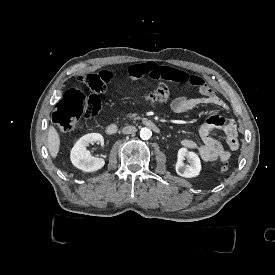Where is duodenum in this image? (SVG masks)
I'll return each mask as SVG.
<instances>
[{
    "mask_svg": "<svg viewBox=\"0 0 275 275\" xmlns=\"http://www.w3.org/2000/svg\"><path fill=\"white\" fill-rule=\"evenodd\" d=\"M143 124L155 133H160L161 131L160 127L151 120H144ZM117 132H118V126L116 124H109L106 127V133L108 135H115Z\"/></svg>",
    "mask_w": 275,
    "mask_h": 275,
    "instance_id": "obj_1",
    "label": "duodenum"
}]
</instances>
